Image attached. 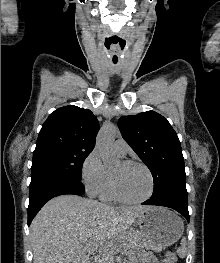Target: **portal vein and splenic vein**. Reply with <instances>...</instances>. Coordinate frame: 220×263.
<instances>
[{"label":"portal vein and splenic vein","instance_id":"portal-vein-and-splenic-vein-1","mask_svg":"<svg viewBox=\"0 0 220 263\" xmlns=\"http://www.w3.org/2000/svg\"><path fill=\"white\" fill-rule=\"evenodd\" d=\"M86 249L88 250L89 253H93L97 250V248L91 246L90 244L86 246Z\"/></svg>","mask_w":220,"mask_h":263}]
</instances>
